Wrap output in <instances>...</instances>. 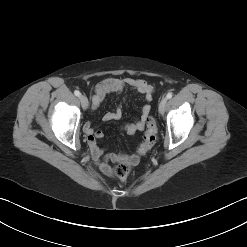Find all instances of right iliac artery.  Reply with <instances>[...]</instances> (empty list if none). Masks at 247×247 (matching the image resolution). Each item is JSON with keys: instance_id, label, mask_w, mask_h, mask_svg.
<instances>
[{"instance_id": "1", "label": "right iliac artery", "mask_w": 247, "mask_h": 247, "mask_svg": "<svg viewBox=\"0 0 247 247\" xmlns=\"http://www.w3.org/2000/svg\"><path fill=\"white\" fill-rule=\"evenodd\" d=\"M74 94L79 97L81 93L78 90H75Z\"/></svg>"}]
</instances>
